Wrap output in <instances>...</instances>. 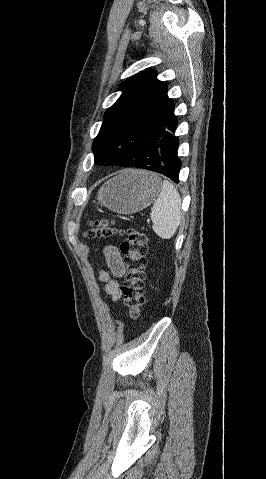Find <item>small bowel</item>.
Wrapping results in <instances>:
<instances>
[{
  "label": "small bowel",
  "mask_w": 266,
  "mask_h": 479,
  "mask_svg": "<svg viewBox=\"0 0 266 479\" xmlns=\"http://www.w3.org/2000/svg\"><path fill=\"white\" fill-rule=\"evenodd\" d=\"M104 254L110 272L101 270L99 272V278L104 283L105 290L107 294L111 297L112 301H117L121 297L118 279L124 276L125 267L121 255L116 247H106L104 250Z\"/></svg>",
  "instance_id": "c3829d8e"
}]
</instances>
